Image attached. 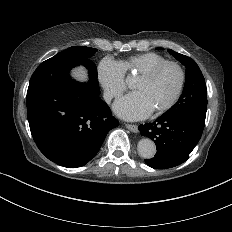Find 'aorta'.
Masks as SVG:
<instances>
[{"instance_id": "aorta-1", "label": "aorta", "mask_w": 232, "mask_h": 232, "mask_svg": "<svg viewBox=\"0 0 232 232\" xmlns=\"http://www.w3.org/2000/svg\"><path fill=\"white\" fill-rule=\"evenodd\" d=\"M138 153L143 158H153L156 153L155 143L148 138L141 139L138 142Z\"/></svg>"}]
</instances>
